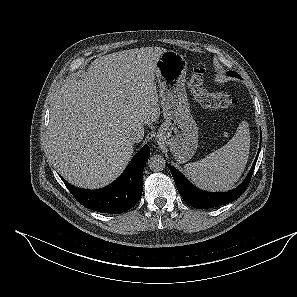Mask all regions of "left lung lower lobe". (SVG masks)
Segmentation results:
<instances>
[{
	"mask_svg": "<svg viewBox=\"0 0 297 297\" xmlns=\"http://www.w3.org/2000/svg\"><path fill=\"white\" fill-rule=\"evenodd\" d=\"M260 137H261V131H260ZM260 146H261V138H260ZM259 152H260V148L255 158V161L245 180L237 188L229 192L211 193V192H205V191L199 190L196 187H194L178 170L171 167L170 165H168V167L172 173L176 187L181 197L183 198V200L188 205L194 208L208 209V208L218 207V206L233 202L244 193V191L246 190L251 180V177L259 156Z\"/></svg>",
	"mask_w": 297,
	"mask_h": 297,
	"instance_id": "1",
	"label": "left lung lower lobe"
}]
</instances>
